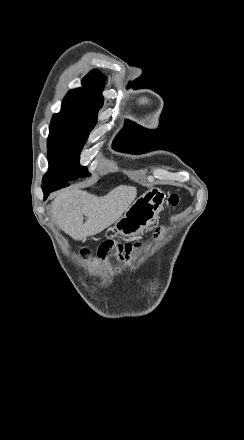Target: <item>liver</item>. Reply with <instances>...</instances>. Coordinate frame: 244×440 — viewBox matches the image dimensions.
Instances as JSON below:
<instances>
[{"label": "liver", "mask_w": 244, "mask_h": 440, "mask_svg": "<svg viewBox=\"0 0 244 440\" xmlns=\"http://www.w3.org/2000/svg\"><path fill=\"white\" fill-rule=\"evenodd\" d=\"M136 196L137 190L133 186H118L103 198L78 188L65 190L54 198L52 216L65 234L73 240H84L115 224ZM83 216H86V222Z\"/></svg>", "instance_id": "liver-1"}]
</instances>
